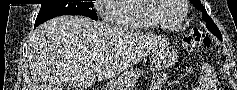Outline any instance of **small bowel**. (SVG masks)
<instances>
[{"instance_id":"c3829d8e","label":"small bowel","mask_w":237,"mask_h":90,"mask_svg":"<svg viewBox=\"0 0 237 90\" xmlns=\"http://www.w3.org/2000/svg\"><path fill=\"white\" fill-rule=\"evenodd\" d=\"M168 81V75L164 72L154 75L150 90H162ZM217 77L209 65H203L201 75L199 77V84L191 90H216ZM170 90V89H168Z\"/></svg>"}]
</instances>
